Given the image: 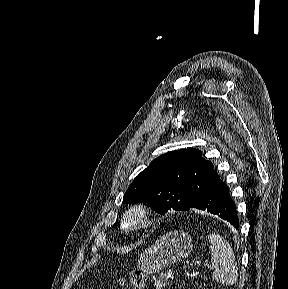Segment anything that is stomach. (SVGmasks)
<instances>
[{
	"label": "stomach",
	"instance_id": "1",
	"mask_svg": "<svg viewBox=\"0 0 288 289\" xmlns=\"http://www.w3.org/2000/svg\"><path fill=\"white\" fill-rule=\"evenodd\" d=\"M192 248V238L188 233L181 230L168 232L140 255L137 267L145 274L158 273L188 257Z\"/></svg>",
	"mask_w": 288,
	"mask_h": 289
}]
</instances>
